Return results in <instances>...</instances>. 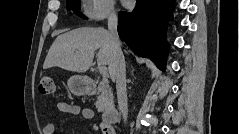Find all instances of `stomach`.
Listing matches in <instances>:
<instances>
[{
    "mask_svg": "<svg viewBox=\"0 0 239 134\" xmlns=\"http://www.w3.org/2000/svg\"><path fill=\"white\" fill-rule=\"evenodd\" d=\"M68 88L75 95H85L89 91L88 78L81 75H74L68 80Z\"/></svg>",
    "mask_w": 239,
    "mask_h": 134,
    "instance_id": "0dacf381",
    "label": "stomach"
}]
</instances>
